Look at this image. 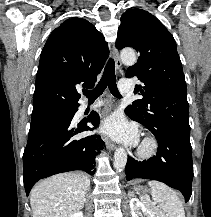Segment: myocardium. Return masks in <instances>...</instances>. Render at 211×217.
Wrapping results in <instances>:
<instances>
[{
	"label": "myocardium",
	"mask_w": 211,
	"mask_h": 217,
	"mask_svg": "<svg viewBox=\"0 0 211 217\" xmlns=\"http://www.w3.org/2000/svg\"><path fill=\"white\" fill-rule=\"evenodd\" d=\"M158 148V140L153 135H146L141 141L136 154L141 159H150L156 155Z\"/></svg>",
	"instance_id": "obj_1"
}]
</instances>
